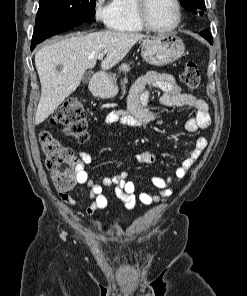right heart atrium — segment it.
Here are the masks:
<instances>
[{
	"label": "right heart atrium",
	"mask_w": 247,
	"mask_h": 296,
	"mask_svg": "<svg viewBox=\"0 0 247 296\" xmlns=\"http://www.w3.org/2000/svg\"><path fill=\"white\" fill-rule=\"evenodd\" d=\"M93 14L99 24L110 27L115 18L113 0H93Z\"/></svg>",
	"instance_id": "d8ad5b80"
}]
</instances>
